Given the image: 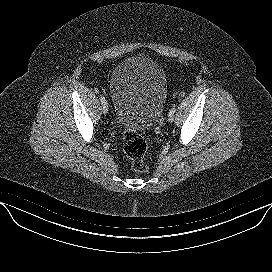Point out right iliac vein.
<instances>
[{"instance_id":"63e3f726","label":"right iliac vein","mask_w":272,"mask_h":272,"mask_svg":"<svg viewBox=\"0 0 272 272\" xmlns=\"http://www.w3.org/2000/svg\"><path fill=\"white\" fill-rule=\"evenodd\" d=\"M102 111H103L104 114L108 113V104H107V102L102 106Z\"/></svg>"}]
</instances>
